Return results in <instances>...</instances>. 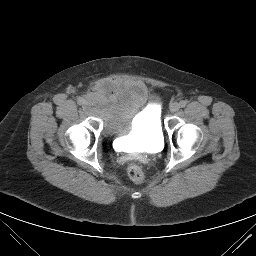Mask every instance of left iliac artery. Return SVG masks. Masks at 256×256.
Wrapping results in <instances>:
<instances>
[{"label": "left iliac artery", "mask_w": 256, "mask_h": 256, "mask_svg": "<svg viewBox=\"0 0 256 256\" xmlns=\"http://www.w3.org/2000/svg\"><path fill=\"white\" fill-rule=\"evenodd\" d=\"M186 104H187V101H185V100H182V101L179 102V106L182 107V108L185 107Z\"/></svg>", "instance_id": "1"}]
</instances>
